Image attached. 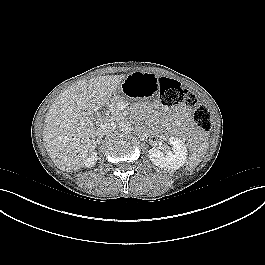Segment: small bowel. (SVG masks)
<instances>
[{"instance_id":"small-bowel-1","label":"small bowel","mask_w":265,"mask_h":265,"mask_svg":"<svg viewBox=\"0 0 265 265\" xmlns=\"http://www.w3.org/2000/svg\"><path fill=\"white\" fill-rule=\"evenodd\" d=\"M175 114L181 118H187L189 116V111L186 107H179L176 109Z\"/></svg>"}]
</instances>
